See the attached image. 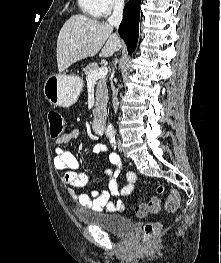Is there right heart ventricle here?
I'll list each match as a JSON object with an SVG mask.
<instances>
[{
    "instance_id": "obj_1",
    "label": "right heart ventricle",
    "mask_w": 221,
    "mask_h": 263,
    "mask_svg": "<svg viewBox=\"0 0 221 263\" xmlns=\"http://www.w3.org/2000/svg\"><path fill=\"white\" fill-rule=\"evenodd\" d=\"M78 4L85 14L93 18L101 16L97 0H78Z\"/></svg>"
}]
</instances>
